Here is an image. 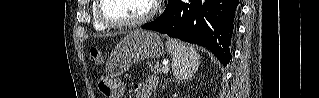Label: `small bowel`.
Here are the masks:
<instances>
[{
  "label": "small bowel",
  "mask_w": 319,
  "mask_h": 98,
  "mask_svg": "<svg viewBox=\"0 0 319 98\" xmlns=\"http://www.w3.org/2000/svg\"><path fill=\"white\" fill-rule=\"evenodd\" d=\"M157 78L155 76H149L145 84H137L134 87L136 98H149L150 91L156 87Z\"/></svg>",
  "instance_id": "c3829d8e"
}]
</instances>
